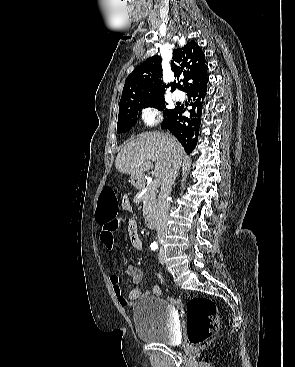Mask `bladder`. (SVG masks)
I'll return each instance as SVG.
<instances>
[{"instance_id":"1","label":"bladder","mask_w":295,"mask_h":367,"mask_svg":"<svg viewBox=\"0 0 295 367\" xmlns=\"http://www.w3.org/2000/svg\"><path fill=\"white\" fill-rule=\"evenodd\" d=\"M175 319L171 304L160 297L142 296L133 309L136 334L146 342L174 344L177 339Z\"/></svg>"}]
</instances>
